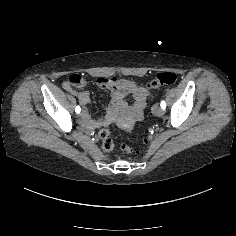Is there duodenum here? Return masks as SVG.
<instances>
[{
    "instance_id": "1",
    "label": "duodenum",
    "mask_w": 236,
    "mask_h": 236,
    "mask_svg": "<svg viewBox=\"0 0 236 236\" xmlns=\"http://www.w3.org/2000/svg\"><path fill=\"white\" fill-rule=\"evenodd\" d=\"M107 86L114 90L113 92V102L115 106L125 107V102L123 100V95L120 92V89L128 90L135 93V86L125 81L116 82L113 80L107 81ZM143 99L141 97L136 98L135 110L138 112L140 110ZM84 122L87 128H93L99 124H109L112 122L111 119H105L101 123H95L91 121L87 116L84 118Z\"/></svg>"
}]
</instances>
